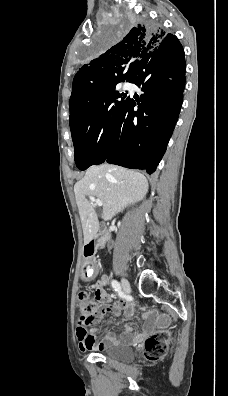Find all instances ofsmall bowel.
I'll return each mask as SVG.
<instances>
[{
    "label": "small bowel",
    "mask_w": 228,
    "mask_h": 396,
    "mask_svg": "<svg viewBox=\"0 0 228 396\" xmlns=\"http://www.w3.org/2000/svg\"><path fill=\"white\" fill-rule=\"evenodd\" d=\"M83 272L86 277H93L94 265L91 262H86L83 266ZM108 283V277H100L92 286L91 289L94 291L96 300L101 303V307L97 310L93 318V323L99 322L104 314L111 312L115 317H118L123 311L127 316H130L133 312L134 305L129 301H116L113 302V297L110 295L105 287ZM110 322V321H109ZM151 327V322L146 321L144 323V329L148 330ZM125 331L119 338L109 333L103 339L97 338V330L92 329L87 331L81 324L77 327L76 334L79 343V348L82 351L85 350H103L109 346H113L119 343H127L135 339H140L141 336L134 337L132 335V327L129 324H124Z\"/></svg>",
    "instance_id": "1"
}]
</instances>
